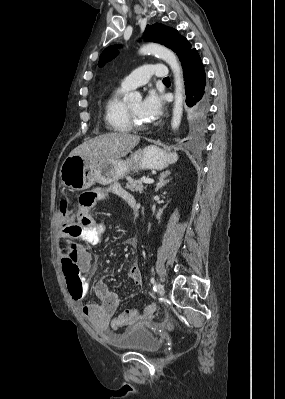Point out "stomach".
<instances>
[{
  "label": "stomach",
  "mask_w": 285,
  "mask_h": 399,
  "mask_svg": "<svg viewBox=\"0 0 285 399\" xmlns=\"http://www.w3.org/2000/svg\"><path fill=\"white\" fill-rule=\"evenodd\" d=\"M176 161V154H168L154 145L138 150L127 160L92 162L79 155H72L63 161L60 168V179L64 186L81 191L96 182L105 185L117 181L132 169L162 170Z\"/></svg>",
  "instance_id": "obj_1"
}]
</instances>
